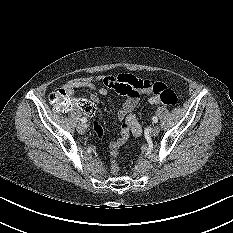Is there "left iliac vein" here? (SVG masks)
Here are the masks:
<instances>
[{
  "label": "left iliac vein",
  "mask_w": 233,
  "mask_h": 233,
  "mask_svg": "<svg viewBox=\"0 0 233 233\" xmlns=\"http://www.w3.org/2000/svg\"><path fill=\"white\" fill-rule=\"evenodd\" d=\"M159 132H160V127L158 125H155L151 130V135L154 137L158 136Z\"/></svg>",
  "instance_id": "obj_1"
}]
</instances>
